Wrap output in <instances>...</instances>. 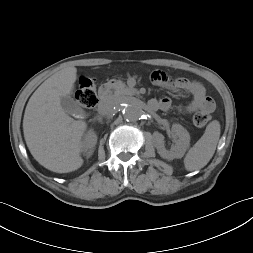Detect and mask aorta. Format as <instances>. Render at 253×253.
Here are the masks:
<instances>
[{
	"label": "aorta",
	"mask_w": 253,
	"mask_h": 253,
	"mask_svg": "<svg viewBox=\"0 0 253 253\" xmlns=\"http://www.w3.org/2000/svg\"><path fill=\"white\" fill-rule=\"evenodd\" d=\"M143 114L142 106L138 102H131L123 109L124 118L129 121H137Z\"/></svg>",
	"instance_id": "obj_1"
}]
</instances>
